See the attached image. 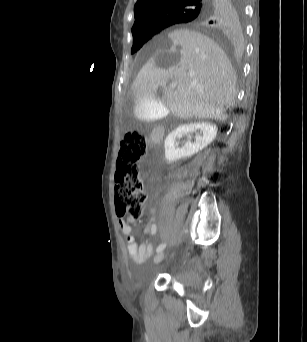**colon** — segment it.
<instances>
[{
	"mask_svg": "<svg viewBox=\"0 0 307 342\" xmlns=\"http://www.w3.org/2000/svg\"><path fill=\"white\" fill-rule=\"evenodd\" d=\"M148 139L139 131H128L123 137L117 159L115 204L120 215L138 220L143 215L147 194L138 178V162L144 158Z\"/></svg>",
	"mask_w": 307,
	"mask_h": 342,
	"instance_id": "5ec220e1",
	"label": "colon"
}]
</instances>
